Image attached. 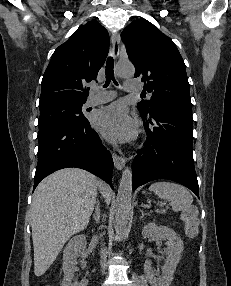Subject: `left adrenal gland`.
<instances>
[{
  "instance_id": "1",
  "label": "left adrenal gland",
  "mask_w": 231,
  "mask_h": 286,
  "mask_svg": "<svg viewBox=\"0 0 231 286\" xmlns=\"http://www.w3.org/2000/svg\"><path fill=\"white\" fill-rule=\"evenodd\" d=\"M140 212H141V217H140V219H142L145 215H147V214L143 211V209H140Z\"/></svg>"
}]
</instances>
